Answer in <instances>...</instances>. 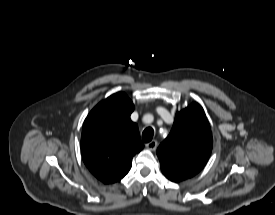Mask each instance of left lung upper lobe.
Wrapping results in <instances>:
<instances>
[{
    "instance_id": "obj_1",
    "label": "left lung upper lobe",
    "mask_w": 275,
    "mask_h": 215,
    "mask_svg": "<svg viewBox=\"0 0 275 215\" xmlns=\"http://www.w3.org/2000/svg\"><path fill=\"white\" fill-rule=\"evenodd\" d=\"M212 146L208 120L194 102L176 114L169 136L157 149L163 174L173 182L196 175L207 163Z\"/></svg>"
}]
</instances>
